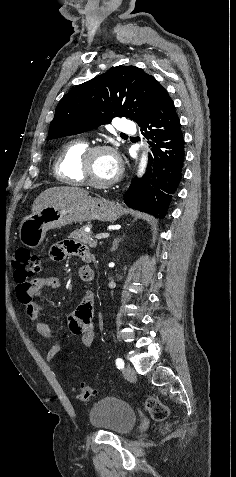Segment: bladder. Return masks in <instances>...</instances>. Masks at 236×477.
Instances as JSON below:
<instances>
[{"instance_id":"1","label":"bladder","mask_w":236,"mask_h":477,"mask_svg":"<svg viewBox=\"0 0 236 477\" xmlns=\"http://www.w3.org/2000/svg\"><path fill=\"white\" fill-rule=\"evenodd\" d=\"M91 427L117 435L128 434L135 426L137 415L127 403L107 397L97 401L89 410Z\"/></svg>"}]
</instances>
